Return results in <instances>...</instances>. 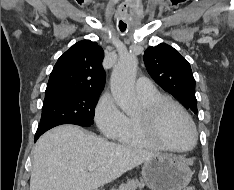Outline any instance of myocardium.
Wrapping results in <instances>:
<instances>
[{
    "label": "myocardium",
    "instance_id": "obj_1",
    "mask_svg": "<svg viewBox=\"0 0 234 190\" xmlns=\"http://www.w3.org/2000/svg\"><path fill=\"white\" fill-rule=\"evenodd\" d=\"M168 109H175L179 111L189 123L193 133V140L190 146L186 148H179L172 146L168 144L165 141V139L161 136L160 134L161 120L164 113ZM138 118L149 138L163 149L176 151V152H187L191 150L197 143L198 133L192 117L182 105H180L179 103H177L176 101L170 98L167 97L159 98L150 105L144 107L141 113L138 115Z\"/></svg>",
    "mask_w": 234,
    "mask_h": 190
}]
</instances>
